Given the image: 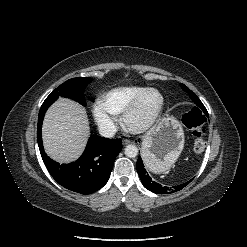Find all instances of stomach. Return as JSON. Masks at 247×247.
<instances>
[{
    "mask_svg": "<svg viewBox=\"0 0 247 247\" xmlns=\"http://www.w3.org/2000/svg\"><path fill=\"white\" fill-rule=\"evenodd\" d=\"M184 131L173 117L164 118L142 140L141 156L154 173H165L177 161L184 148Z\"/></svg>",
    "mask_w": 247,
    "mask_h": 247,
    "instance_id": "stomach-1",
    "label": "stomach"
}]
</instances>
